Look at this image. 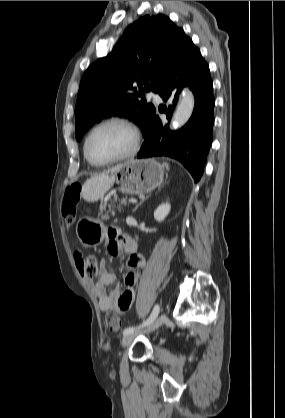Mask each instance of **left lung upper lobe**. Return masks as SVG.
Instances as JSON below:
<instances>
[{
	"mask_svg": "<svg viewBox=\"0 0 285 418\" xmlns=\"http://www.w3.org/2000/svg\"><path fill=\"white\" fill-rule=\"evenodd\" d=\"M184 36L183 29L162 14L146 15L129 25L112 52L89 66L82 77L75 107L76 139L110 116L133 120L145 136L156 109L137 96L158 93Z\"/></svg>",
	"mask_w": 285,
	"mask_h": 418,
	"instance_id": "5c2ea615",
	"label": "left lung upper lobe"
}]
</instances>
